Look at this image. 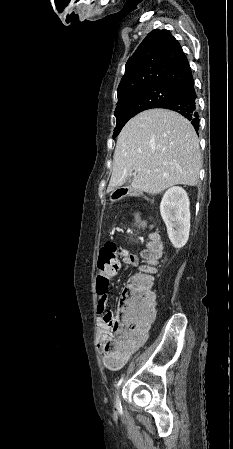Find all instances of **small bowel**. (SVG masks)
<instances>
[{
    "label": "small bowel",
    "mask_w": 233,
    "mask_h": 449,
    "mask_svg": "<svg viewBox=\"0 0 233 449\" xmlns=\"http://www.w3.org/2000/svg\"><path fill=\"white\" fill-rule=\"evenodd\" d=\"M120 260L128 265V266H132L135 267L138 264V259L137 257L129 252H124L121 254L120 256ZM120 267V263L118 262L117 266L114 268H109L108 269V278H113ZM108 307V294L101 297L98 300V313L103 315H105L106 310ZM154 315H150L142 324V326L137 330L136 335L133 339H131L128 342H125L123 348H125V352H124V359L125 361L134 354V352L141 347L144 342L146 341L147 337H148V329L150 326V322L153 319ZM110 341V336H109V328L108 325L106 324L105 320L102 319L99 323V339H98V347H99V351L101 353L104 354V347L106 345V343ZM114 345L116 346V340H113Z\"/></svg>",
    "instance_id": "1"
}]
</instances>
